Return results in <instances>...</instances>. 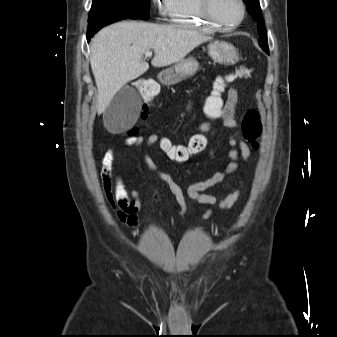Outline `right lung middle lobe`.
<instances>
[{"instance_id": "dd1d6c3e", "label": "right lung middle lobe", "mask_w": 337, "mask_h": 337, "mask_svg": "<svg viewBox=\"0 0 337 337\" xmlns=\"http://www.w3.org/2000/svg\"><path fill=\"white\" fill-rule=\"evenodd\" d=\"M150 0H93L88 25L111 18L149 19Z\"/></svg>"}]
</instances>
